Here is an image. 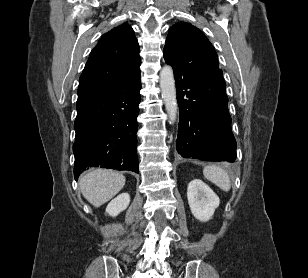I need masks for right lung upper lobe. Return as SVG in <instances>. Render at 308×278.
Listing matches in <instances>:
<instances>
[{"label":"right lung upper lobe","instance_id":"1","mask_svg":"<svg viewBox=\"0 0 308 278\" xmlns=\"http://www.w3.org/2000/svg\"><path fill=\"white\" fill-rule=\"evenodd\" d=\"M140 65L133 29L126 23L115 27L91 51L79 79L77 101L129 88L140 78Z\"/></svg>","mask_w":308,"mask_h":278}]
</instances>
